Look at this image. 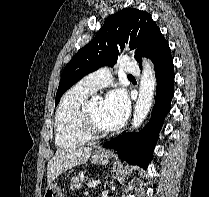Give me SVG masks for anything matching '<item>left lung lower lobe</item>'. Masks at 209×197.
Segmentation results:
<instances>
[{"label":"left lung lower lobe","instance_id":"left-lung-lower-lobe-1","mask_svg":"<svg viewBox=\"0 0 209 197\" xmlns=\"http://www.w3.org/2000/svg\"><path fill=\"white\" fill-rule=\"evenodd\" d=\"M157 77L155 105L149 123L139 133H123L103 146L114 148L130 164L147 169L165 116L170 111L174 95L173 58L167 41L160 44L151 56ZM141 67V65H140Z\"/></svg>","mask_w":209,"mask_h":197}]
</instances>
